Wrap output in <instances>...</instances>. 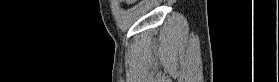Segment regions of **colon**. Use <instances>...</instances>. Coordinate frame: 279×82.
Instances as JSON below:
<instances>
[{
	"instance_id": "colon-1",
	"label": "colon",
	"mask_w": 279,
	"mask_h": 82,
	"mask_svg": "<svg viewBox=\"0 0 279 82\" xmlns=\"http://www.w3.org/2000/svg\"><path fill=\"white\" fill-rule=\"evenodd\" d=\"M125 2L128 3V4H130V3H133L134 0H126Z\"/></svg>"
}]
</instances>
